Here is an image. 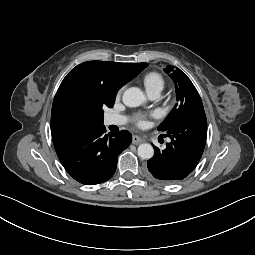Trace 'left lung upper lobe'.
I'll use <instances>...</instances> for the list:
<instances>
[{"label":"left lung upper lobe","mask_w":255,"mask_h":255,"mask_svg":"<svg viewBox=\"0 0 255 255\" xmlns=\"http://www.w3.org/2000/svg\"><path fill=\"white\" fill-rule=\"evenodd\" d=\"M164 71L175 82L177 103L168 117L158 126V130L167 132L172 126L204 109L201 98L191 80L179 69L167 66Z\"/></svg>","instance_id":"1"}]
</instances>
